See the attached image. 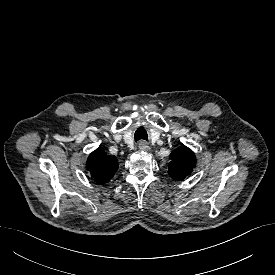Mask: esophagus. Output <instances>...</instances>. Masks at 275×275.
<instances>
[{"label": "esophagus", "instance_id": "obj_1", "mask_svg": "<svg viewBox=\"0 0 275 275\" xmlns=\"http://www.w3.org/2000/svg\"><path fill=\"white\" fill-rule=\"evenodd\" d=\"M138 147L140 150L147 151L149 149V144L146 141L141 140L138 144Z\"/></svg>", "mask_w": 275, "mask_h": 275}]
</instances>
